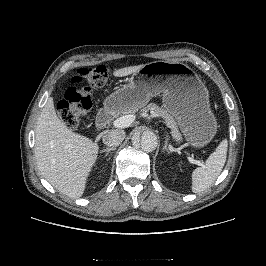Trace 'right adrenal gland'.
<instances>
[{"label": "right adrenal gland", "instance_id": "2a0ac1e0", "mask_svg": "<svg viewBox=\"0 0 266 266\" xmlns=\"http://www.w3.org/2000/svg\"><path fill=\"white\" fill-rule=\"evenodd\" d=\"M115 150H116L115 147H110V148H106V149L101 150L100 153L105 152V156H107L111 151H115Z\"/></svg>", "mask_w": 266, "mask_h": 266}]
</instances>
